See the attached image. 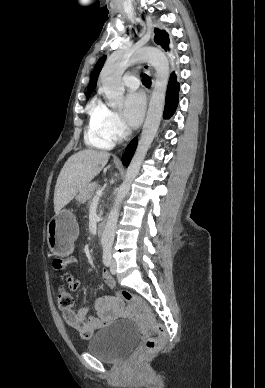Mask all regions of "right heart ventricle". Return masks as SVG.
<instances>
[{"mask_svg": "<svg viewBox=\"0 0 265 388\" xmlns=\"http://www.w3.org/2000/svg\"><path fill=\"white\" fill-rule=\"evenodd\" d=\"M102 103L94 100L89 108L90 121L85 135L86 141L93 146L109 149L114 145V139L107 135L102 128L101 108Z\"/></svg>", "mask_w": 265, "mask_h": 388, "instance_id": "1", "label": "right heart ventricle"}]
</instances>
